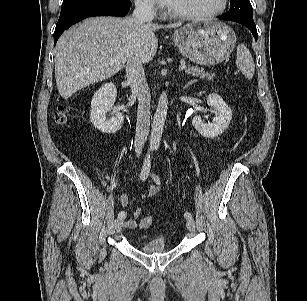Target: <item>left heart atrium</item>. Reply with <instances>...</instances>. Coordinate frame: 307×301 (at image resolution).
Segmentation results:
<instances>
[{"label":"left heart atrium","instance_id":"left-heart-atrium-1","mask_svg":"<svg viewBox=\"0 0 307 301\" xmlns=\"http://www.w3.org/2000/svg\"><path fill=\"white\" fill-rule=\"evenodd\" d=\"M173 0H157L162 7L169 8Z\"/></svg>","mask_w":307,"mask_h":301}]
</instances>
